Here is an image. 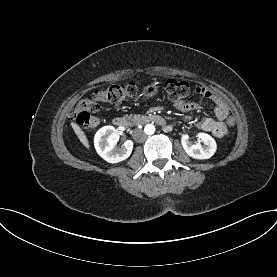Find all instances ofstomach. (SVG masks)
Wrapping results in <instances>:
<instances>
[{
  "label": "stomach",
  "instance_id": "obj_1",
  "mask_svg": "<svg viewBox=\"0 0 277 277\" xmlns=\"http://www.w3.org/2000/svg\"><path fill=\"white\" fill-rule=\"evenodd\" d=\"M158 85L156 82H153L151 84H148L145 86L141 92V96L143 98H151L155 96L158 93Z\"/></svg>",
  "mask_w": 277,
  "mask_h": 277
}]
</instances>
